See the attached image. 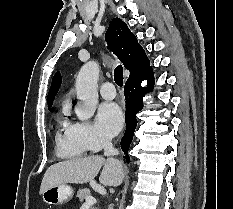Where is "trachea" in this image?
<instances>
[{
	"label": "trachea",
	"mask_w": 233,
	"mask_h": 209,
	"mask_svg": "<svg viewBox=\"0 0 233 209\" xmlns=\"http://www.w3.org/2000/svg\"><path fill=\"white\" fill-rule=\"evenodd\" d=\"M114 81L118 86L123 85V67L118 65L114 70Z\"/></svg>",
	"instance_id": "3493384b"
}]
</instances>
